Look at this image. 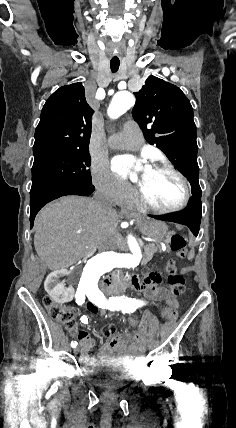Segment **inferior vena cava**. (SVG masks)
<instances>
[{
	"instance_id": "1",
	"label": "inferior vena cava",
	"mask_w": 236,
	"mask_h": 428,
	"mask_svg": "<svg viewBox=\"0 0 236 428\" xmlns=\"http://www.w3.org/2000/svg\"><path fill=\"white\" fill-rule=\"evenodd\" d=\"M111 188V184H110V178H104V184L103 186H100L99 188V194H94V198L95 200H97V202H99L101 208H111L109 202H108V198H106L105 196V192L106 190H110Z\"/></svg>"
}]
</instances>
